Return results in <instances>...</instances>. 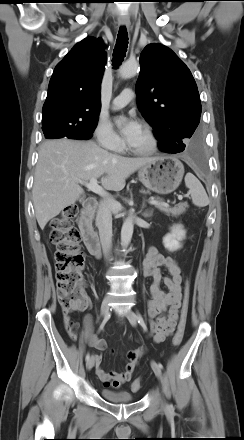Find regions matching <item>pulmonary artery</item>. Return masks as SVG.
Returning <instances> with one entry per match:
<instances>
[{"instance_id": "e3ab8cb5", "label": "pulmonary artery", "mask_w": 244, "mask_h": 440, "mask_svg": "<svg viewBox=\"0 0 244 440\" xmlns=\"http://www.w3.org/2000/svg\"><path fill=\"white\" fill-rule=\"evenodd\" d=\"M133 95L134 94L132 90H123L121 94L113 100L111 108L113 110L122 109L133 100Z\"/></svg>"}]
</instances>
